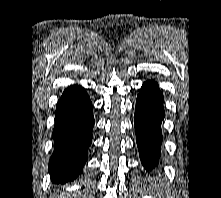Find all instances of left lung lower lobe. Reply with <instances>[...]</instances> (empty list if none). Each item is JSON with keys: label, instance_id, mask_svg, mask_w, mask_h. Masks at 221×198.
Instances as JSON below:
<instances>
[{"label": "left lung lower lobe", "instance_id": "obj_1", "mask_svg": "<svg viewBox=\"0 0 221 198\" xmlns=\"http://www.w3.org/2000/svg\"><path fill=\"white\" fill-rule=\"evenodd\" d=\"M164 117L163 94L158 84L144 82L136 100L134 121L140 159L146 169L158 163L163 139L160 126Z\"/></svg>", "mask_w": 221, "mask_h": 198}]
</instances>
